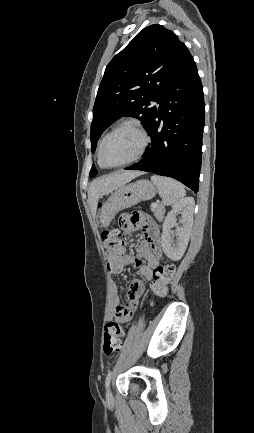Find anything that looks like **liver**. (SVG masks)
Returning a JSON list of instances; mask_svg holds the SVG:
<instances>
[{
  "mask_svg": "<svg viewBox=\"0 0 254 433\" xmlns=\"http://www.w3.org/2000/svg\"><path fill=\"white\" fill-rule=\"evenodd\" d=\"M142 174L143 173L140 171H119L99 177L92 181L88 190V202L92 213L94 215L96 214L100 198L117 190L119 187Z\"/></svg>",
  "mask_w": 254,
  "mask_h": 433,
  "instance_id": "obj_1",
  "label": "liver"
}]
</instances>
